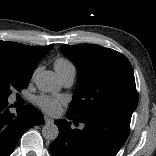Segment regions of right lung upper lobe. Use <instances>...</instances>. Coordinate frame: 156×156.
Wrapping results in <instances>:
<instances>
[{
  "instance_id": "cb5924a9",
  "label": "right lung upper lobe",
  "mask_w": 156,
  "mask_h": 156,
  "mask_svg": "<svg viewBox=\"0 0 156 156\" xmlns=\"http://www.w3.org/2000/svg\"><path fill=\"white\" fill-rule=\"evenodd\" d=\"M53 46L52 44L33 47L0 40V63L10 66L23 75L32 77L36 65Z\"/></svg>"
}]
</instances>
